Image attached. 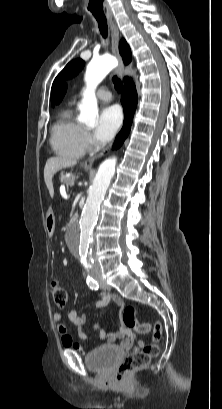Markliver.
<instances>
[{
    "instance_id": "1",
    "label": "liver",
    "mask_w": 222,
    "mask_h": 409,
    "mask_svg": "<svg viewBox=\"0 0 222 409\" xmlns=\"http://www.w3.org/2000/svg\"><path fill=\"white\" fill-rule=\"evenodd\" d=\"M76 164V160L62 156L51 157L47 160L44 167V180L52 198L54 196V188L52 183L54 174L64 168L72 167Z\"/></svg>"
}]
</instances>
